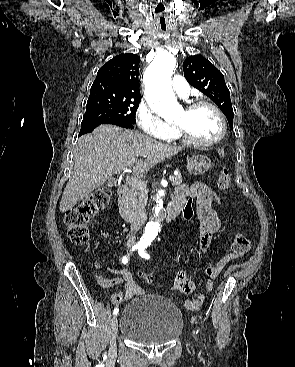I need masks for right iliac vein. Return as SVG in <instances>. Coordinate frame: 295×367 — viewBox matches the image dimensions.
Segmentation results:
<instances>
[{
    "label": "right iliac vein",
    "instance_id": "1",
    "mask_svg": "<svg viewBox=\"0 0 295 367\" xmlns=\"http://www.w3.org/2000/svg\"><path fill=\"white\" fill-rule=\"evenodd\" d=\"M110 324H111L110 354L114 356L116 354V335L118 331V321L116 316L112 318Z\"/></svg>",
    "mask_w": 295,
    "mask_h": 367
}]
</instances>
